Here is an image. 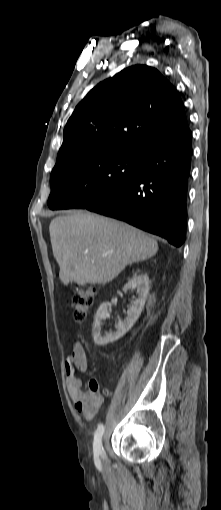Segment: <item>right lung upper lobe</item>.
Here are the masks:
<instances>
[{"label": "right lung upper lobe", "mask_w": 221, "mask_h": 510, "mask_svg": "<svg viewBox=\"0 0 221 510\" xmlns=\"http://www.w3.org/2000/svg\"><path fill=\"white\" fill-rule=\"evenodd\" d=\"M189 130L183 102L170 82L152 67L131 66L99 83L77 105L56 164L109 148L146 149Z\"/></svg>", "instance_id": "right-lung-upper-lobe-1"}]
</instances>
